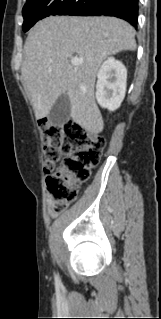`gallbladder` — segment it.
<instances>
[{
    "mask_svg": "<svg viewBox=\"0 0 161 319\" xmlns=\"http://www.w3.org/2000/svg\"><path fill=\"white\" fill-rule=\"evenodd\" d=\"M71 115V104L67 94H62L52 106L48 118L53 125L64 124L69 121Z\"/></svg>",
    "mask_w": 161,
    "mask_h": 319,
    "instance_id": "bac80fb5",
    "label": "gallbladder"
}]
</instances>
